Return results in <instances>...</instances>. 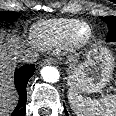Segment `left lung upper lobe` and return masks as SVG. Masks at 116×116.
I'll return each instance as SVG.
<instances>
[{
  "label": "left lung upper lobe",
  "instance_id": "1",
  "mask_svg": "<svg viewBox=\"0 0 116 116\" xmlns=\"http://www.w3.org/2000/svg\"><path fill=\"white\" fill-rule=\"evenodd\" d=\"M101 19L107 23L109 32L106 38L107 42H116V16L101 17Z\"/></svg>",
  "mask_w": 116,
  "mask_h": 116
}]
</instances>
